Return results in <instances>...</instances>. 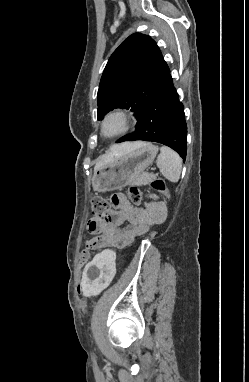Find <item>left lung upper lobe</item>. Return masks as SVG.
Wrapping results in <instances>:
<instances>
[{"label": "left lung upper lobe", "instance_id": "1", "mask_svg": "<svg viewBox=\"0 0 249 382\" xmlns=\"http://www.w3.org/2000/svg\"><path fill=\"white\" fill-rule=\"evenodd\" d=\"M169 72L157 44L147 35L132 34L104 69L97 95L98 119L114 108H130L139 120Z\"/></svg>", "mask_w": 249, "mask_h": 382}]
</instances>
